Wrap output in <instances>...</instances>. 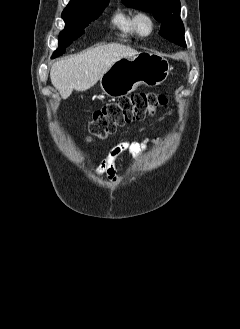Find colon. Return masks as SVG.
<instances>
[{
    "label": "colon",
    "mask_w": 240,
    "mask_h": 329,
    "mask_svg": "<svg viewBox=\"0 0 240 329\" xmlns=\"http://www.w3.org/2000/svg\"><path fill=\"white\" fill-rule=\"evenodd\" d=\"M165 103L166 98L162 94L153 92L123 97L94 112L90 132L98 137H106L115 133L120 126L144 120Z\"/></svg>",
    "instance_id": "obj_1"
}]
</instances>
